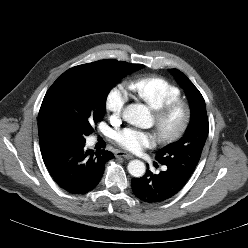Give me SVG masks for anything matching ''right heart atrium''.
<instances>
[{"label": "right heart atrium", "instance_id": "obj_1", "mask_svg": "<svg viewBox=\"0 0 248 248\" xmlns=\"http://www.w3.org/2000/svg\"><path fill=\"white\" fill-rule=\"evenodd\" d=\"M128 94L121 85H115L109 89L105 97L106 110L114 119H119L128 102Z\"/></svg>", "mask_w": 248, "mask_h": 248}]
</instances>
